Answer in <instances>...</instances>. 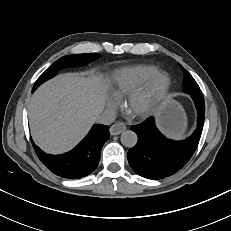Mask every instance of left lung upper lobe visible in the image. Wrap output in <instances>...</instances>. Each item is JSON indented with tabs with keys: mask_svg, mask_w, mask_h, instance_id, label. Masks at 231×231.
<instances>
[{
	"mask_svg": "<svg viewBox=\"0 0 231 231\" xmlns=\"http://www.w3.org/2000/svg\"><path fill=\"white\" fill-rule=\"evenodd\" d=\"M184 91L190 94L194 101L204 102L200 87L188 71L185 72Z\"/></svg>",
	"mask_w": 231,
	"mask_h": 231,
	"instance_id": "5c2ea615",
	"label": "left lung upper lobe"
}]
</instances>
